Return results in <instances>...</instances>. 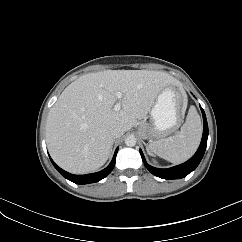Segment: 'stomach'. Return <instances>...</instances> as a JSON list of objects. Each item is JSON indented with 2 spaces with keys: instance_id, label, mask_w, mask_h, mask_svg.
Masks as SVG:
<instances>
[{
  "instance_id": "1",
  "label": "stomach",
  "mask_w": 242,
  "mask_h": 242,
  "mask_svg": "<svg viewBox=\"0 0 242 242\" xmlns=\"http://www.w3.org/2000/svg\"><path fill=\"white\" fill-rule=\"evenodd\" d=\"M187 104L186 95L173 86L164 88L151 109L152 125L141 130L151 143L174 132L182 122Z\"/></svg>"
}]
</instances>
